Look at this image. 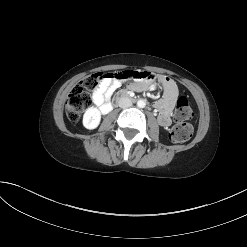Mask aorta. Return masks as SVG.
<instances>
[{
    "mask_svg": "<svg viewBox=\"0 0 247 247\" xmlns=\"http://www.w3.org/2000/svg\"><path fill=\"white\" fill-rule=\"evenodd\" d=\"M137 106H138L139 108H144V107L146 106V101L143 100V99L138 100V101H137Z\"/></svg>",
    "mask_w": 247,
    "mask_h": 247,
    "instance_id": "1",
    "label": "aorta"
}]
</instances>
